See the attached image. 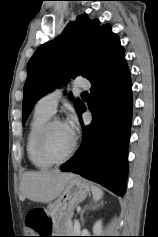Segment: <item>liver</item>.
Here are the masks:
<instances>
[{
	"mask_svg": "<svg viewBox=\"0 0 158 237\" xmlns=\"http://www.w3.org/2000/svg\"><path fill=\"white\" fill-rule=\"evenodd\" d=\"M74 177L72 173L59 171L25 172L20 182V196L36 202H51Z\"/></svg>",
	"mask_w": 158,
	"mask_h": 237,
	"instance_id": "liver-1",
	"label": "liver"
}]
</instances>
